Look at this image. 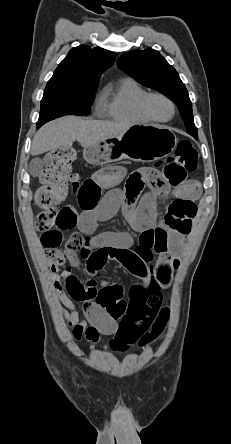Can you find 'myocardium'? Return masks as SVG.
Instances as JSON below:
<instances>
[{"label": "myocardium", "instance_id": "myocardium-1", "mask_svg": "<svg viewBox=\"0 0 231 444\" xmlns=\"http://www.w3.org/2000/svg\"><path fill=\"white\" fill-rule=\"evenodd\" d=\"M155 97L162 98V99L166 100L170 104L171 109H172V113H171V116L169 118H167V119H160V118L155 117L150 112V110H149V101L152 98H155ZM139 110H140V113L146 119H148L149 121L158 122V123H167V122L171 121L174 118L175 113H176V105H175L174 101L169 96H167L164 93H161V92H147L142 97V99L140 100Z\"/></svg>", "mask_w": 231, "mask_h": 444}]
</instances>
